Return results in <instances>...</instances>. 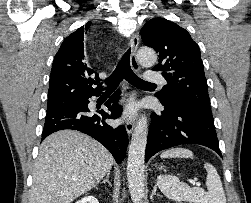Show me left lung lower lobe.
<instances>
[{"mask_svg": "<svg viewBox=\"0 0 251 203\" xmlns=\"http://www.w3.org/2000/svg\"><path fill=\"white\" fill-rule=\"evenodd\" d=\"M152 113L145 161L157 152L182 144H198L211 148L221 156L212 112L188 101Z\"/></svg>", "mask_w": 251, "mask_h": 203, "instance_id": "0a47b994", "label": "left lung lower lobe"}]
</instances>
